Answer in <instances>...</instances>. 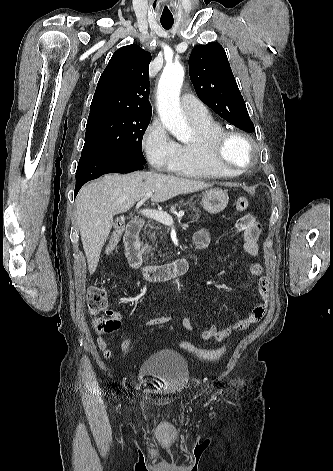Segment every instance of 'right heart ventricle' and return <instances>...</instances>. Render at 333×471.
Wrapping results in <instances>:
<instances>
[{"mask_svg":"<svg viewBox=\"0 0 333 471\" xmlns=\"http://www.w3.org/2000/svg\"><path fill=\"white\" fill-rule=\"evenodd\" d=\"M195 131L192 141L178 144L176 159L170 171L184 177L211 179L235 176L238 173L221 169L210 158L208 143L224 127L211 115L200 119H190Z\"/></svg>","mask_w":333,"mask_h":471,"instance_id":"obj_1","label":"right heart ventricle"}]
</instances>
